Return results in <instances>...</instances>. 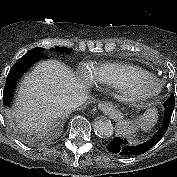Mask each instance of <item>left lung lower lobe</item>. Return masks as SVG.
<instances>
[{"instance_id":"0a47b994","label":"left lung lower lobe","mask_w":177,"mask_h":177,"mask_svg":"<svg viewBox=\"0 0 177 177\" xmlns=\"http://www.w3.org/2000/svg\"><path fill=\"white\" fill-rule=\"evenodd\" d=\"M164 106V117L161 128L156 132V134L147 142L137 145V146H128L127 141L121 138L115 137L113 140L106 146L107 150L112 153L123 155V156H132L143 154L157 144L163 135L166 133L169 123L171 121V116L174 110L175 104L165 101Z\"/></svg>"}]
</instances>
